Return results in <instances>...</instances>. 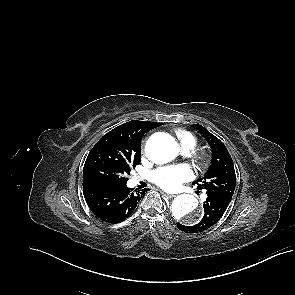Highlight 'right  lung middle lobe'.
<instances>
[{
    "mask_svg": "<svg viewBox=\"0 0 295 295\" xmlns=\"http://www.w3.org/2000/svg\"><path fill=\"white\" fill-rule=\"evenodd\" d=\"M139 163L140 148L133 140L103 136L86 159L83 186L124 185L131 167Z\"/></svg>",
    "mask_w": 295,
    "mask_h": 295,
    "instance_id": "right-lung-middle-lobe-1",
    "label": "right lung middle lobe"
}]
</instances>
